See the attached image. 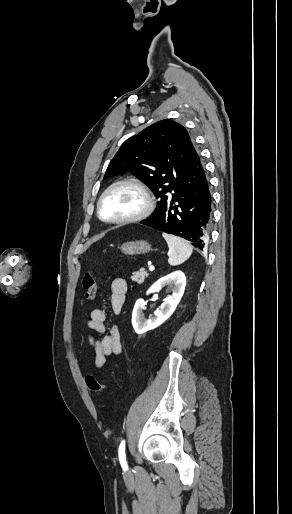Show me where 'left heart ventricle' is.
<instances>
[{
  "instance_id": "left-heart-ventricle-1",
  "label": "left heart ventricle",
  "mask_w": 292,
  "mask_h": 514,
  "mask_svg": "<svg viewBox=\"0 0 292 514\" xmlns=\"http://www.w3.org/2000/svg\"><path fill=\"white\" fill-rule=\"evenodd\" d=\"M143 204L141 194L135 189L120 187L113 190L104 199L102 215L106 219L128 216L138 211Z\"/></svg>"
}]
</instances>
